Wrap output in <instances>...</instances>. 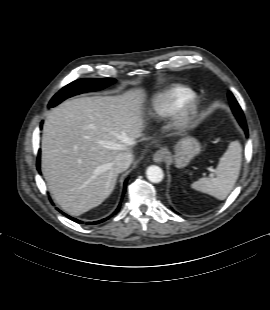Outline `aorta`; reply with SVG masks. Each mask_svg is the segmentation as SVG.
I'll use <instances>...</instances> for the list:
<instances>
[{
    "label": "aorta",
    "instance_id": "762f6f07",
    "mask_svg": "<svg viewBox=\"0 0 270 310\" xmlns=\"http://www.w3.org/2000/svg\"><path fill=\"white\" fill-rule=\"evenodd\" d=\"M147 179L153 183H159L163 180V170L156 165H151L146 170Z\"/></svg>",
    "mask_w": 270,
    "mask_h": 310
}]
</instances>
